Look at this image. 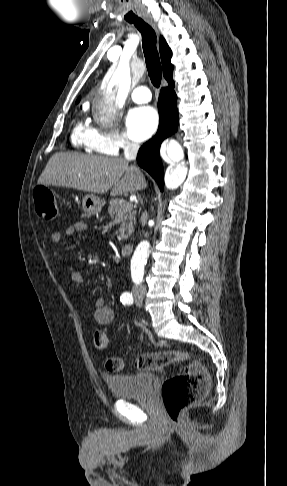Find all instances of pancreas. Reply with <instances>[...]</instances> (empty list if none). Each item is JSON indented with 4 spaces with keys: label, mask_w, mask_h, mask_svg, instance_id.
I'll list each match as a JSON object with an SVG mask.
<instances>
[{
    "label": "pancreas",
    "mask_w": 287,
    "mask_h": 486,
    "mask_svg": "<svg viewBox=\"0 0 287 486\" xmlns=\"http://www.w3.org/2000/svg\"><path fill=\"white\" fill-rule=\"evenodd\" d=\"M110 217L115 220L120 215L121 225L116 233L118 239L123 241L128 238V235L133 232L136 224L135 212L131 203L124 199H112L108 208Z\"/></svg>",
    "instance_id": "pancreas-1"
}]
</instances>
